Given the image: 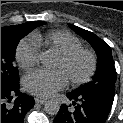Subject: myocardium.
<instances>
[{
	"label": "myocardium",
	"mask_w": 123,
	"mask_h": 123,
	"mask_svg": "<svg viewBox=\"0 0 123 123\" xmlns=\"http://www.w3.org/2000/svg\"><path fill=\"white\" fill-rule=\"evenodd\" d=\"M78 56H85L88 59V69L86 72L80 76H72L69 77V81L73 85H82L86 82H88L95 74L97 70V56L94 51L91 49L85 48V47H78L71 49L69 51L60 53L58 57L64 62L69 63L72 60H74Z\"/></svg>",
	"instance_id": "myocardium-1"
}]
</instances>
